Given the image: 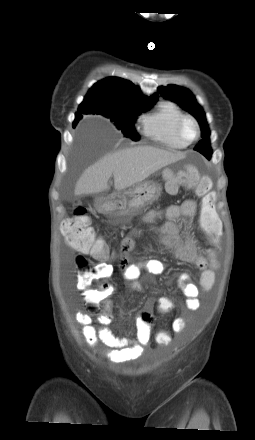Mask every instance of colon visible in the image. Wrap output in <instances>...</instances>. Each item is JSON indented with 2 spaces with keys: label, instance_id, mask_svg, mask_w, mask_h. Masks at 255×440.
Here are the masks:
<instances>
[{
  "label": "colon",
  "instance_id": "5ec220e1",
  "mask_svg": "<svg viewBox=\"0 0 255 440\" xmlns=\"http://www.w3.org/2000/svg\"><path fill=\"white\" fill-rule=\"evenodd\" d=\"M166 189L169 193H175L179 186L192 190L201 199L200 222L203 227L213 230L216 227V197L211 191V180L208 176H201L199 171L193 167H188L183 171L168 172L165 175ZM63 235L67 244L78 252L75 258L76 269L79 273V282L82 289H87L92 283L106 279L111 267L108 265L96 264L84 254L91 252L97 258H106L109 249L105 242L94 234L91 227L90 217L85 208H77L74 215L65 219L61 225ZM111 288H104L98 292H92L91 297L98 295L106 296ZM155 305L159 307L163 316L168 315L169 311L175 308L174 298H155ZM90 309L97 310V305L90 303ZM154 339L158 342L159 348H166L172 344L171 335L168 330H157Z\"/></svg>",
  "mask_w": 255,
  "mask_h": 440
}]
</instances>
